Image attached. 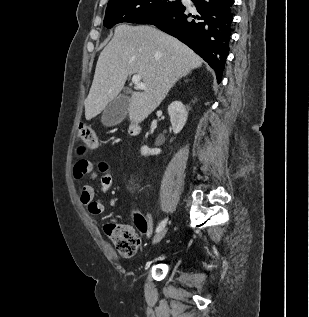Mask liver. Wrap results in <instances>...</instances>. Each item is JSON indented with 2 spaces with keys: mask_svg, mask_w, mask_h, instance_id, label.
Returning a JSON list of instances; mask_svg holds the SVG:
<instances>
[{
  "mask_svg": "<svg viewBox=\"0 0 309 317\" xmlns=\"http://www.w3.org/2000/svg\"><path fill=\"white\" fill-rule=\"evenodd\" d=\"M202 62L188 46L154 27L118 25L98 58L85 100V118L100 114L118 96L127 77L138 74L146 89L132 93L128 111L130 121L140 123L181 77L201 67Z\"/></svg>",
  "mask_w": 309,
  "mask_h": 317,
  "instance_id": "6515ba94",
  "label": "liver"
}]
</instances>
